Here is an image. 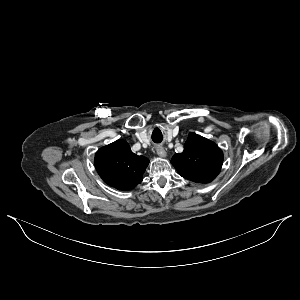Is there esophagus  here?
I'll list each match as a JSON object with an SVG mask.
<instances>
[{
	"label": "esophagus",
	"instance_id": "esophagus-1",
	"mask_svg": "<svg viewBox=\"0 0 300 300\" xmlns=\"http://www.w3.org/2000/svg\"><path fill=\"white\" fill-rule=\"evenodd\" d=\"M156 153L159 157L165 158L167 156L166 151L160 145L156 146Z\"/></svg>",
	"mask_w": 300,
	"mask_h": 300
}]
</instances>
